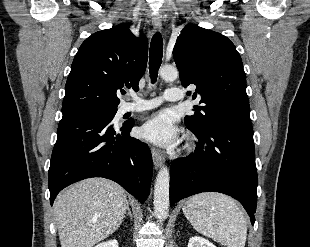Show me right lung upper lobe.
Masks as SVG:
<instances>
[{"label": "right lung upper lobe", "mask_w": 310, "mask_h": 247, "mask_svg": "<svg viewBox=\"0 0 310 247\" xmlns=\"http://www.w3.org/2000/svg\"><path fill=\"white\" fill-rule=\"evenodd\" d=\"M147 45L143 35L136 37L125 24L88 37L74 57L62 111L80 107L117 110V90L139 89L146 70Z\"/></svg>", "instance_id": "right-lung-upper-lobe-1"}]
</instances>
